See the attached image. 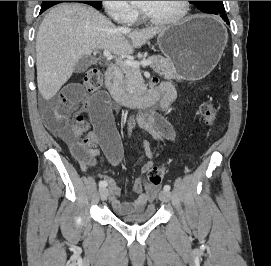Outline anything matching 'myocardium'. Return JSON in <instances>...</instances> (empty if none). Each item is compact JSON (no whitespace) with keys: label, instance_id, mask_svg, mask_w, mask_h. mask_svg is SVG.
<instances>
[{"label":"myocardium","instance_id":"obj_1","mask_svg":"<svg viewBox=\"0 0 271 266\" xmlns=\"http://www.w3.org/2000/svg\"><path fill=\"white\" fill-rule=\"evenodd\" d=\"M190 12V1H182V10L179 14L169 18H156L148 14L141 8V14L144 20L155 25H174L182 22L187 18Z\"/></svg>","mask_w":271,"mask_h":266}]
</instances>
